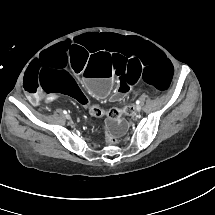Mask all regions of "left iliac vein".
Listing matches in <instances>:
<instances>
[{
    "label": "left iliac vein",
    "mask_w": 215,
    "mask_h": 215,
    "mask_svg": "<svg viewBox=\"0 0 215 215\" xmlns=\"http://www.w3.org/2000/svg\"><path fill=\"white\" fill-rule=\"evenodd\" d=\"M136 110H137V111H140V110H141V107H140V106H137Z\"/></svg>",
    "instance_id": "4c4485c4"
}]
</instances>
